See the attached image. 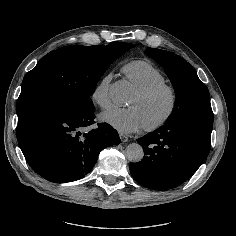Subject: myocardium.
<instances>
[{
	"label": "myocardium",
	"mask_w": 236,
	"mask_h": 236,
	"mask_svg": "<svg viewBox=\"0 0 236 236\" xmlns=\"http://www.w3.org/2000/svg\"><path fill=\"white\" fill-rule=\"evenodd\" d=\"M160 93H167L169 95L170 98L169 109L162 119L153 124L144 126V129L148 132H154L163 128L172 119L178 108V103H179L178 91L174 85L166 82L152 86L144 90H136L137 96L142 100H150L155 96L159 95Z\"/></svg>",
	"instance_id": "obj_1"
}]
</instances>
